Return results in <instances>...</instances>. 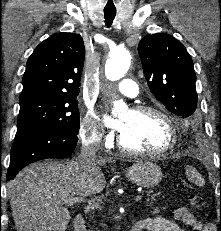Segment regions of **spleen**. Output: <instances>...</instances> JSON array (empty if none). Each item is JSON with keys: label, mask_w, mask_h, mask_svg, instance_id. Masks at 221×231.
<instances>
[{"label": "spleen", "mask_w": 221, "mask_h": 231, "mask_svg": "<svg viewBox=\"0 0 221 231\" xmlns=\"http://www.w3.org/2000/svg\"><path fill=\"white\" fill-rule=\"evenodd\" d=\"M186 175L188 176L189 180L195 182L198 185H203L204 181L201 178L200 174L191 166H186Z\"/></svg>", "instance_id": "obj_1"}]
</instances>
